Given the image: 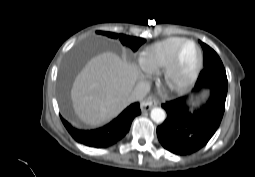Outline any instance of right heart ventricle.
<instances>
[{"mask_svg":"<svg viewBox=\"0 0 255 177\" xmlns=\"http://www.w3.org/2000/svg\"><path fill=\"white\" fill-rule=\"evenodd\" d=\"M184 41L185 38L170 37L151 44L141 53L142 65L148 70L163 68L172 58L177 47Z\"/></svg>","mask_w":255,"mask_h":177,"instance_id":"right-heart-ventricle-1","label":"right heart ventricle"}]
</instances>
